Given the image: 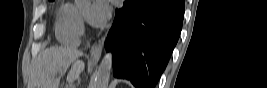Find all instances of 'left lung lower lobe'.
I'll return each mask as SVG.
<instances>
[{"instance_id":"1","label":"left lung lower lobe","mask_w":267,"mask_h":88,"mask_svg":"<svg viewBox=\"0 0 267 88\" xmlns=\"http://www.w3.org/2000/svg\"><path fill=\"white\" fill-rule=\"evenodd\" d=\"M184 0H126L106 41L113 74L137 88H154L178 41Z\"/></svg>"}]
</instances>
